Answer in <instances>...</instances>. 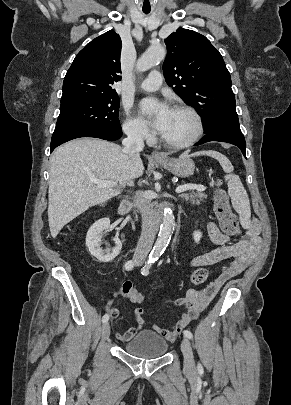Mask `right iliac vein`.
Instances as JSON below:
<instances>
[{"instance_id":"1","label":"right iliac vein","mask_w":291,"mask_h":405,"mask_svg":"<svg viewBox=\"0 0 291 405\" xmlns=\"http://www.w3.org/2000/svg\"><path fill=\"white\" fill-rule=\"evenodd\" d=\"M110 335V325L108 322L104 323L102 327V339L106 340Z\"/></svg>"}]
</instances>
